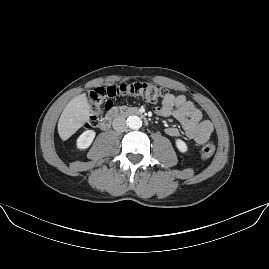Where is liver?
Returning a JSON list of instances; mask_svg holds the SVG:
<instances>
[{
  "mask_svg": "<svg viewBox=\"0 0 269 269\" xmlns=\"http://www.w3.org/2000/svg\"><path fill=\"white\" fill-rule=\"evenodd\" d=\"M89 110L85 93L74 97L67 104L58 122V133L62 140H67L89 120Z\"/></svg>",
  "mask_w": 269,
  "mask_h": 269,
  "instance_id": "6515ba94",
  "label": "liver"
}]
</instances>
